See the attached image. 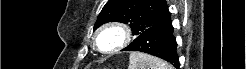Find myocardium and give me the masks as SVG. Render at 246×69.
Instances as JSON below:
<instances>
[{
  "instance_id": "obj_1",
  "label": "myocardium",
  "mask_w": 246,
  "mask_h": 69,
  "mask_svg": "<svg viewBox=\"0 0 246 69\" xmlns=\"http://www.w3.org/2000/svg\"><path fill=\"white\" fill-rule=\"evenodd\" d=\"M106 31L116 32L119 35V43L114 48L108 51H102L103 54H110V53L119 51L121 49H124L130 43V40H131L130 28L121 22H110V23L104 24L95 33L93 41H94L95 47L98 48L99 50L101 49V46L99 44V36Z\"/></svg>"
}]
</instances>
